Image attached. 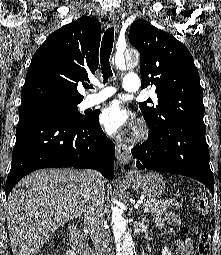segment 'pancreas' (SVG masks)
I'll list each match as a JSON object with an SVG mask.
<instances>
[{"instance_id": "pancreas-1", "label": "pancreas", "mask_w": 221, "mask_h": 255, "mask_svg": "<svg viewBox=\"0 0 221 255\" xmlns=\"http://www.w3.org/2000/svg\"><path fill=\"white\" fill-rule=\"evenodd\" d=\"M143 205L149 208L148 213H151L154 215H161L165 213L168 209L174 206L176 208L181 207L180 203L174 202L172 199L161 200V199H155V198H151L147 201L144 200Z\"/></svg>"}]
</instances>
